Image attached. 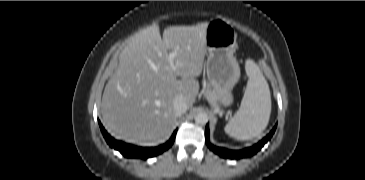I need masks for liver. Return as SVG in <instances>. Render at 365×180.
Segmentation results:
<instances>
[{
  "label": "liver",
  "instance_id": "liver-1",
  "mask_svg": "<svg viewBox=\"0 0 365 180\" xmlns=\"http://www.w3.org/2000/svg\"><path fill=\"white\" fill-rule=\"evenodd\" d=\"M207 24L171 26L162 38L159 27L151 26L132 37L102 96V120L111 135L152 145L176 123V97H182L192 108L199 92L196 77L203 69ZM175 50L173 69L167 56Z\"/></svg>",
  "mask_w": 365,
  "mask_h": 180
}]
</instances>
